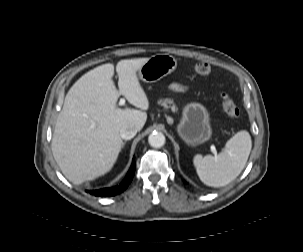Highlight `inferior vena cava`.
I'll return each instance as SVG.
<instances>
[{
    "label": "inferior vena cava",
    "instance_id": "602c4592",
    "mask_svg": "<svg viewBox=\"0 0 303 252\" xmlns=\"http://www.w3.org/2000/svg\"><path fill=\"white\" fill-rule=\"evenodd\" d=\"M137 131L138 129L135 126H124L120 129V136L122 139L130 140L136 135Z\"/></svg>",
    "mask_w": 303,
    "mask_h": 252
}]
</instances>
